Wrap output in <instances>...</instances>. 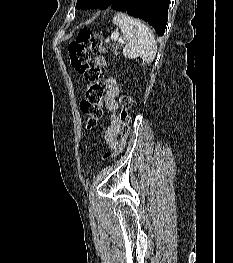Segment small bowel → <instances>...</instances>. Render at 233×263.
Instances as JSON below:
<instances>
[{
    "label": "small bowel",
    "instance_id": "obj_1",
    "mask_svg": "<svg viewBox=\"0 0 233 263\" xmlns=\"http://www.w3.org/2000/svg\"><path fill=\"white\" fill-rule=\"evenodd\" d=\"M95 62L99 66L105 65V60L101 56H97ZM120 88L115 78L108 77L105 80V93L104 101L106 110L110 116L109 125L105 131V142L111 150L116 151L119 147V137L121 136V125L120 121L115 115L118 109V103L116 97L119 95Z\"/></svg>",
    "mask_w": 233,
    "mask_h": 263
}]
</instances>
